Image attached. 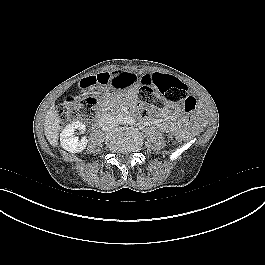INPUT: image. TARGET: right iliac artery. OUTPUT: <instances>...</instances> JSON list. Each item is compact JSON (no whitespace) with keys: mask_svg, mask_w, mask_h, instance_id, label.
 Listing matches in <instances>:
<instances>
[{"mask_svg":"<svg viewBox=\"0 0 265 265\" xmlns=\"http://www.w3.org/2000/svg\"><path fill=\"white\" fill-rule=\"evenodd\" d=\"M119 121H120V122L123 121V117H122V116L119 117Z\"/></svg>","mask_w":265,"mask_h":265,"instance_id":"obj_1","label":"right iliac artery"}]
</instances>
